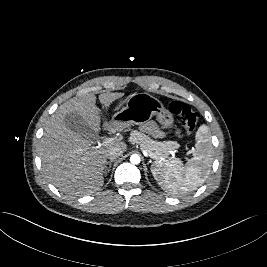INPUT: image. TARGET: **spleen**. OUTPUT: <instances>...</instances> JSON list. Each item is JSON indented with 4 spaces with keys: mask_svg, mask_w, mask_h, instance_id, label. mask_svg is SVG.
<instances>
[{
    "mask_svg": "<svg viewBox=\"0 0 267 267\" xmlns=\"http://www.w3.org/2000/svg\"><path fill=\"white\" fill-rule=\"evenodd\" d=\"M193 157L183 165L179 159L155 161L151 172L160 187L171 195H185L201 186L211 170L213 146L209 127L201 125L195 136Z\"/></svg>",
    "mask_w": 267,
    "mask_h": 267,
    "instance_id": "1",
    "label": "spleen"
}]
</instances>
